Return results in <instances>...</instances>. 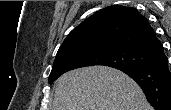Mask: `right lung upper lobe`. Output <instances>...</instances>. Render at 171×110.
Wrapping results in <instances>:
<instances>
[{"instance_id": "1", "label": "right lung upper lobe", "mask_w": 171, "mask_h": 110, "mask_svg": "<svg viewBox=\"0 0 171 110\" xmlns=\"http://www.w3.org/2000/svg\"><path fill=\"white\" fill-rule=\"evenodd\" d=\"M90 44L124 46L152 56L163 48L146 17L119 5L101 9L84 20L68 34L57 53Z\"/></svg>"}]
</instances>
